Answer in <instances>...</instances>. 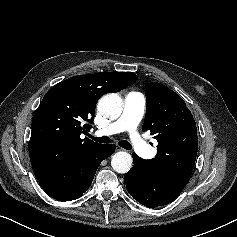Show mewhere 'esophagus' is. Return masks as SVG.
<instances>
[{"instance_id":"1","label":"esophagus","mask_w":237,"mask_h":237,"mask_svg":"<svg viewBox=\"0 0 237 237\" xmlns=\"http://www.w3.org/2000/svg\"><path fill=\"white\" fill-rule=\"evenodd\" d=\"M124 149L123 148H121V147H117V151H123Z\"/></svg>"}]
</instances>
